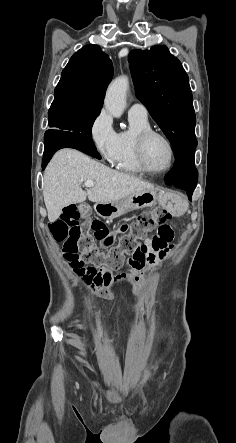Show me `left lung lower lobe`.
<instances>
[{
    "mask_svg": "<svg viewBox=\"0 0 236 443\" xmlns=\"http://www.w3.org/2000/svg\"><path fill=\"white\" fill-rule=\"evenodd\" d=\"M194 155L195 147L179 154L173 168L164 178L167 185H174L186 190L190 201L198 180V171L194 166Z\"/></svg>",
    "mask_w": 236,
    "mask_h": 443,
    "instance_id": "obj_1",
    "label": "left lung lower lobe"
}]
</instances>
